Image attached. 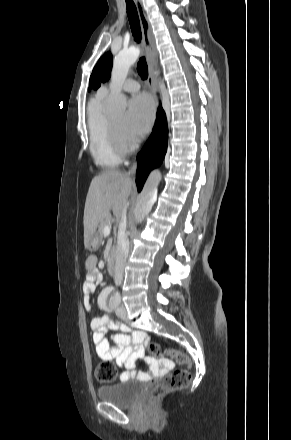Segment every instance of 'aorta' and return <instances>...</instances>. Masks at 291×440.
Returning a JSON list of instances; mask_svg holds the SVG:
<instances>
[{
	"label": "aorta",
	"mask_w": 291,
	"mask_h": 440,
	"mask_svg": "<svg viewBox=\"0 0 291 440\" xmlns=\"http://www.w3.org/2000/svg\"><path fill=\"white\" fill-rule=\"evenodd\" d=\"M140 51L136 47L120 51L114 58L111 71L110 95L105 103L106 112L110 115H121L127 107L126 97L122 93V86L128 75L130 67L136 62ZM157 195V189L147 184L141 193L138 205L135 209V219L142 222L144 217L151 211ZM111 303H117V295L110 298Z\"/></svg>",
	"instance_id": "aorta-1"
}]
</instances>
